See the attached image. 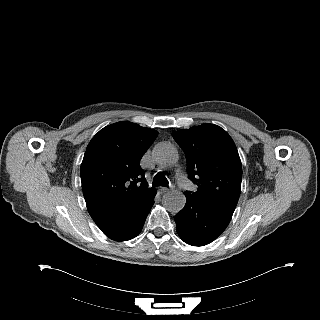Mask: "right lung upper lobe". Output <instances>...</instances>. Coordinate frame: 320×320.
<instances>
[{
	"label": "right lung upper lobe",
	"mask_w": 320,
	"mask_h": 320,
	"mask_svg": "<svg viewBox=\"0 0 320 320\" xmlns=\"http://www.w3.org/2000/svg\"><path fill=\"white\" fill-rule=\"evenodd\" d=\"M158 132L123 121L104 127L90 141L81 164L87 209L95 223L131 212L155 194L140 160Z\"/></svg>",
	"instance_id": "1"
}]
</instances>
